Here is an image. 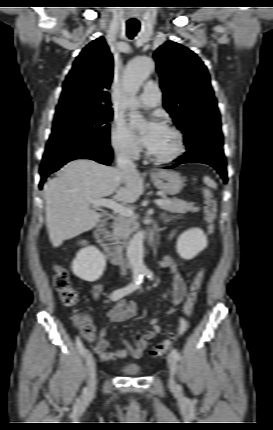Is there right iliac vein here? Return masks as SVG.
I'll use <instances>...</instances> for the list:
<instances>
[{
    "label": "right iliac vein",
    "instance_id": "obj_1",
    "mask_svg": "<svg viewBox=\"0 0 273 430\" xmlns=\"http://www.w3.org/2000/svg\"><path fill=\"white\" fill-rule=\"evenodd\" d=\"M86 365L88 371V386L85 391L87 398L93 397L96 389V364L91 352L86 353Z\"/></svg>",
    "mask_w": 273,
    "mask_h": 430
}]
</instances>
